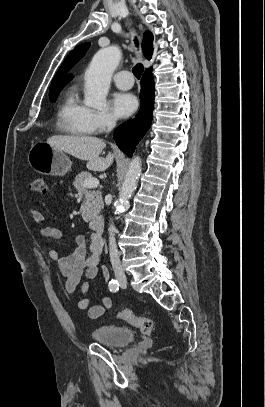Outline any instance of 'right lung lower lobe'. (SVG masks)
Listing matches in <instances>:
<instances>
[{
  "mask_svg": "<svg viewBox=\"0 0 265 407\" xmlns=\"http://www.w3.org/2000/svg\"><path fill=\"white\" fill-rule=\"evenodd\" d=\"M141 108L134 119L121 124L114 132L118 147L129 157L136 145L148 131L152 122L154 107V79L152 69H147L141 79Z\"/></svg>",
  "mask_w": 265,
  "mask_h": 407,
  "instance_id": "obj_1",
  "label": "right lung lower lobe"
}]
</instances>
